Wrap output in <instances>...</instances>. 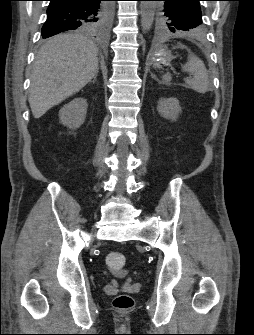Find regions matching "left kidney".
I'll return each instance as SVG.
<instances>
[{
    "label": "left kidney",
    "instance_id": "left-kidney-1",
    "mask_svg": "<svg viewBox=\"0 0 254 335\" xmlns=\"http://www.w3.org/2000/svg\"><path fill=\"white\" fill-rule=\"evenodd\" d=\"M157 110L162 117L172 121H176L179 113H181V107L176 98H161L158 102Z\"/></svg>",
    "mask_w": 254,
    "mask_h": 335
}]
</instances>
